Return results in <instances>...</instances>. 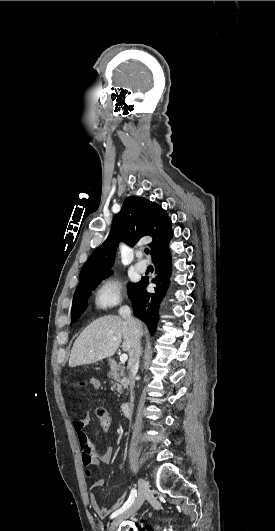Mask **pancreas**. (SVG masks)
Masks as SVG:
<instances>
[{"mask_svg": "<svg viewBox=\"0 0 275 531\" xmlns=\"http://www.w3.org/2000/svg\"><path fill=\"white\" fill-rule=\"evenodd\" d=\"M110 369L108 373L109 379H113L116 383H113V389H116L120 393L122 387H127L128 379L124 377L123 367H117L115 361H110Z\"/></svg>", "mask_w": 275, "mask_h": 531, "instance_id": "1", "label": "pancreas"}]
</instances>
